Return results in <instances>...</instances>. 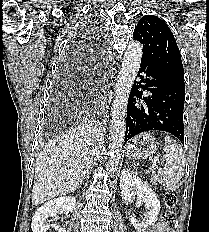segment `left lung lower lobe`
I'll list each match as a JSON object with an SVG mask.
<instances>
[{"label":"left lung lower lobe","instance_id":"0a47b994","mask_svg":"<svg viewBox=\"0 0 209 232\" xmlns=\"http://www.w3.org/2000/svg\"><path fill=\"white\" fill-rule=\"evenodd\" d=\"M137 77L128 100L125 142L139 133L159 130L184 144V81L163 75L145 60H141ZM143 91L149 95L142 96Z\"/></svg>","mask_w":209,"mask_h":232}]
</instances>
